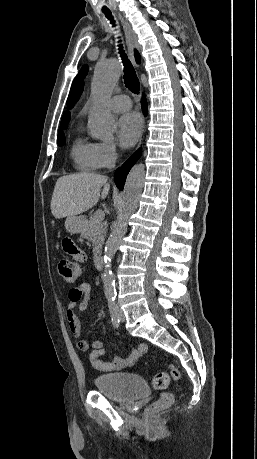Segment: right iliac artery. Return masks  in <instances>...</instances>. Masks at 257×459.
<instances>
[{
  "label": "right iliac artery",
  "mask_w": 257,
  "mask_h": 459,
  "mask_svg": "<svg viewBox=\"0 0 257 459\" xmlns=\"http://www.w3.org/2000/svg\"><path fill=\"white\" fill-rule=\"evenodd\" d=\"M108 305H109V310L112 318V323L115 328L119 327V311L117 304L115 302V297L114 296H109L108 297Z\"/></svg>",
  "instance_id": "1"
}]
</instances>
